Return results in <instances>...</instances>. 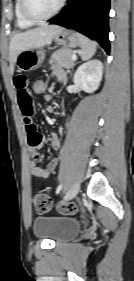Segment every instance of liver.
<instances>
[{
	"instance_id": "1",
	"label": "liver",
	"mask_w": 134,
	"mask_h": 281,
	"mask_svg": "<svg viewBox=\"0 0 134 281\" xmlns=\"http://www.w3.org/2000/svg\"><path fill=\"white\" fill-rule=\"evenodd\" d=\"M61 30L60 26L49 25L15 34L9 46L10 72L13 73L16 57L21 51L39 49L50 44L54 36Z\"/></svg>"
}]
</instances>
